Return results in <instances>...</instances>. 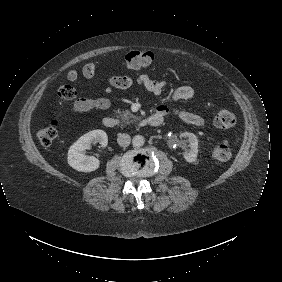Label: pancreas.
Masks as SVG:
<instances>
[{"label":"pancreas","instance_id":"cf45deb5","mask_svg":"<svg viewBox=\"0 0 282 282\" xmlns=\"http://www.w3.org/2000/svg\"><path fill=\"white\" fill-rule=\"evenodd\" d=\"M116 113L118 114L117 118H119L122 123L129 124V123L137 122L141 120L140 116L133 115L128 110H125V111L117 110Z\"/></svg>","mask_w":282,"mask_h":282}]
</instances>
